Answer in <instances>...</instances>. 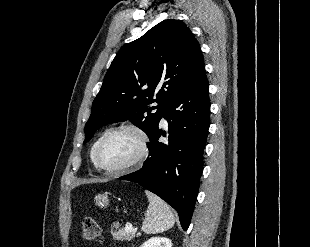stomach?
<instances>
[{"instance_id": "1", "label": "stomach", "mask_w": 310, "mask_h": 247, "mask_svg": "<svg viewBox=\"0 0 310 247\" xmlns=\"http://www.w3.org/2000/svg\"><path fill=\"white\" fill-rule=\"evenodd\" d=\"M95 202H96V205H98L101 208L106 207L109 204V199H108L107 194L100 193V194L96 195L95 196Z\"/></svg>"}]
</instances>
